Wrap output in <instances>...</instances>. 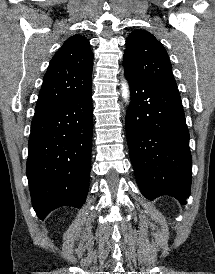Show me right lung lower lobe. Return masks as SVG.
<instances>
[{"mask_svg":"<svg viewBox=\"0 0 215 274\" xmlns=\"http://www.w3.org/2000/svg\"><path fill=\"white\" fill-rule=\"evenodd\" d=\"M91 90L92 84L33 117L26 175L40 219L58 207L81 208L85 202L92 150Z\"/></svg>","mask_w":215,"mask_h":274,"instance_id":"98d812e1","label":"right lung lower lobe"}]
</instances>
